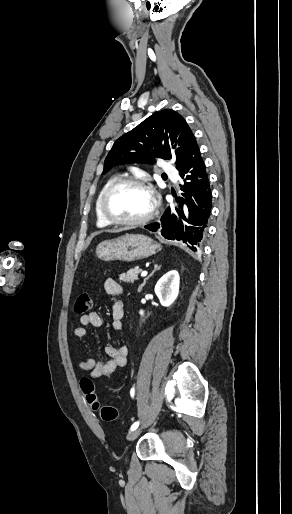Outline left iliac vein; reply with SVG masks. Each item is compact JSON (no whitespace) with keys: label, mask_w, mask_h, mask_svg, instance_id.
Returning <instances> with one entry per match:
<instances>
[{"label":"left iliac vein","mask_w":292,"mask_h":514,"mask_svg":"<svg viewBox=\"0 0 292 514\" xmlns=\"http://www.w3.org/2000/svg\"><path fill=\"white\" fill-rule=\"evenodd\" d=\"M142 429H143V426H141V427L135 429L134 431H132L127 436L128 441H134L138 437V435L141 433Z\"/></svg>","instance_id":"1"}]
</instances>
